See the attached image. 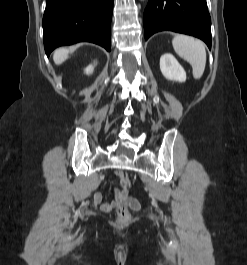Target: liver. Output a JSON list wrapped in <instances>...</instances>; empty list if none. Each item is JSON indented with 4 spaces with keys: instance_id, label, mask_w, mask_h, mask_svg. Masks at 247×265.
<instances>
[{
    "instance_id": "6515ba94",
    "label": "liver",
    "mask_w": 247,
    "mask_h": 265,
    "mask_svg": "<svg viewBox=\"0 0 247 265\" xmlns=\"http://www.w3.org/2000/svg\"><path fill=\"white\" fill-rule=\"evenodd\" d=\"M68 49L65 48H59L54 52V62L55 64L59 65L61 63H63L67 58H68Z\"/></svg>"
}]
</instances>
